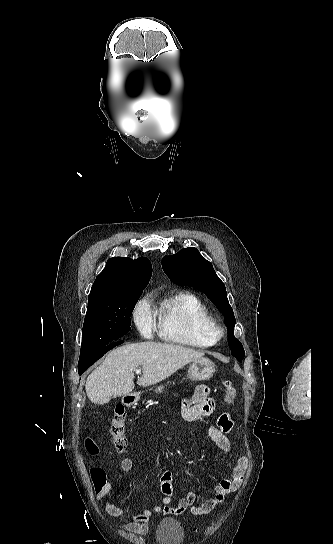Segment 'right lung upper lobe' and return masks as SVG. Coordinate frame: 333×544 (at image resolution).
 <instances>
[{
    "mask_svg": "<svg viewBox=\"0 0 333 544\" xmlns=\"http://www.w3.org/2000/svg\"><path fill=\"white\" fill-rule=\"evenodd\" d=\"M151 274V263L145 257L136 260L125 257L110 258L104 270L97 276L88 302L143 291L149 283Z\"/></svg>",
    "mask_w": 333,
    "mask_h": 544,
    "instance_id": "1",
    "label": "right lung upper lobe"
}]
</instances>
